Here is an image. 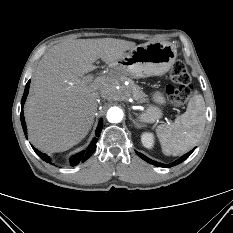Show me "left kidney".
Segmentation results:
<instances>
[{
    "label": "left kidney",
    "instance_id": "obj_1",
    "mask_svg": "<svg viewBox=\"0 0 233 233\" xmlns=\"http://www.w3.org/2000/svg\"><path fill=\"white\" fill-rule=\"evenodd\" d=\"M141 141L146 148H152L154 144V137L151 133H143Z\"/></svg>",
    "mask_w": 233,
    "mask_h": 233
}]
</instances>
